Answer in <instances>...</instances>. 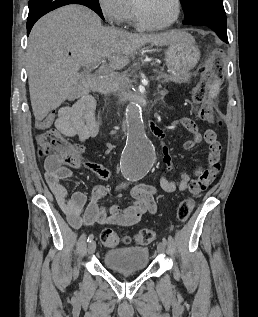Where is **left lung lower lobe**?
Here are the masks:
<instances>
[{"instance_id": "obj_1", "label": "left lung lower lobe", "mask_w": 258, "mask_h": 317, "mask_svg": "<svg viewBox=\"0 0 258 317\" xmlns=\"http://www.w3.org/2000/svg\"><path fill=\"white\" fill-rule=\"evenodd\" d=\"M197 26L205 27V28H209V29L213 30L219 36L220 39H222L224 42L228 43L226 28H221L219 26L212 25V24H201V25H197Z\"/></svg>"}]
</instances>
